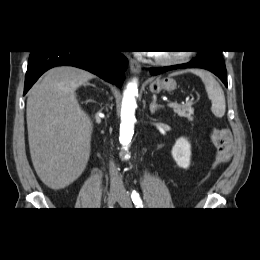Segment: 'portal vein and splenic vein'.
Segmentation results:
<instances>
[{
	"instance_id": "obj_1",
	"label": "portal vein and splenic vein",
	"mask_w": 260,
	"mask_h": 260,
	"mask_svg": "<svg viewBox=\"0 0 260 260\" xmlns=\"http://www.w3.org/2000/svg\"><path fill=\"white\" fill-rule=\"evenodd\" d=\"M168 106L175 107V106H178V104L176 102H170V103H168Z\"/></svg>"
}]
</instances>
